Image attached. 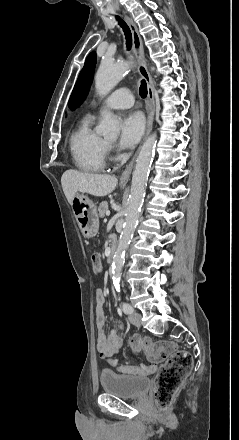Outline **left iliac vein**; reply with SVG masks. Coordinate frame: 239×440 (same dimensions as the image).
<instances>
[{
	"label": "left iliac vein",
	"instance_id": "1",
	"mask_svg": "<svg viewBox=\"0 0 239 440\" xmlns=\"http://www.w3.org/2000/svg\"><path fill=\"white\" fill-rule=\"evenodd\" d=\"M129 321H130L133 325L139 327V326L141 325V314L138 313V312H134V313L132 312V313L129 315Z\"/></svg>",
	"mask_w": 239,
	"mask_h": 440
}]
</instances>
